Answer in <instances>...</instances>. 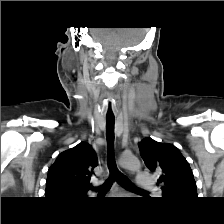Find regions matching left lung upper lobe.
<instances>
[{"instance_id":"5c2ea615","label":"left lung upper lobe","mask_w":224,"mask_h":224,"mask_svg":"<svg viewBox=\"0 0 224 224\" xmlns=\"http://www.w3.org/2000/svg\"><path fill=\"white\" fill-rule=\"evenodd\" d=\"M140 154L151 171H158L166 199L197 198L196 182L187 160L172 144L159 143L150 137L138 143Z\"/></svg>"}]
</instances>
